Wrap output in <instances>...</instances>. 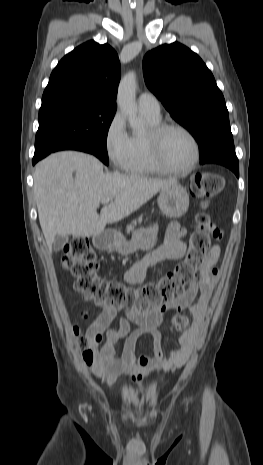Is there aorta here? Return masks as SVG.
<instances>
[{
	"label": "aorta",
	"mask_w": 263,
	"mask_h": 465,
	"mask_svg": "<svg viewBox=\"0 0 263 465\" xmlns=\"http://www.w3.org/2000/svg\"><path fill=\"white\" fill-rule=\"evenodd\" d=\"M136 97V74L132 71L127 73L118 86L117 104L127 115L129 126L133 130H139L143 121L137 116Z\"/></svg>",
	"instance_id": "obj_1"
}]
</instances>
